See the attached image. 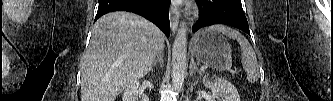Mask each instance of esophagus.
Instances as JSON below:
<instances>
[{"label":"esophagus","mask_w":333,"mask_h":101,"mask_svg":"<svg viewBox=\"0 0 333 101\" xmlns=\"http://www.w3.org/2000/svg\"><path fill=\"white\" fill-rule=\"evenodd\" d=\"M180 12L175 6L170 7V27L171 31L175 32L179 24Z\"/></svg>","instance_id":"esophagus-1"}]
</instances>
